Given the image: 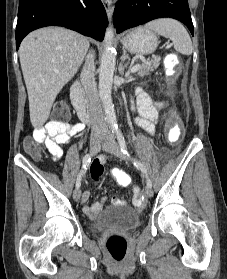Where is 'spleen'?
Listing matches in <instances>:
<instances>
[{
    "label": "spleen",
    "instance_id": "1",
    "mask_svg": "<svg viewBox=\"0 0 227 279\" xmlns=\"http://www.w3.org/2000/svg\"><path fill=\"white\" fill-rule=\"evenodd\" d=\"M146 29H151L158 34L169 38L177 52L184 55L192 54V42L186 29L176 20L164 18L151 21L145 25Z\"/></svg>",
    "mask_w": 227,
    "mask_h": 279
}]
</instances>
